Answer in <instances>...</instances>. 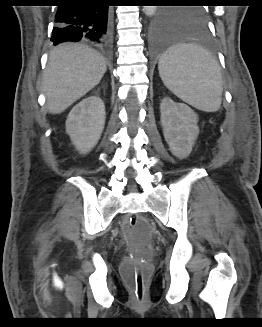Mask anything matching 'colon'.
I'll use <instances>...</instances> for the list:
<instances>
[{
    "instance_id": "obj_1",
    "label": "colon",
    "mask_w": 262,
    "mask_h": 327,
    "mask_svg": "<svg viewBox=\"0 0 262 327\" xmlns=\"http://www.w3.org/2000/svg\"><path fill=\"white\" fill-rule=\"evenodd\" d=\"M128 238L136 245L146 247L150 239V227L147 221L140 217H132L124 226ZM131 290L138 302H142L146 294V278L149 267L139 256L135 255L132 260L123 266Z\"/></svg>"
}]
</instances>
